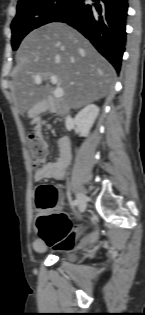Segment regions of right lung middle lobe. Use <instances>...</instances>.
Returning a JSON list of instances; mask_svg holds the SVG:
<instances>
[{
    "label": "right lung middle lobe",
    "instance_id": "obj_1",
    "mask_svg": "<svg viewBox=\"0 0 145 315\" xmlns=\"http://www.w3.org/2000/svg\"><path fill=\"white\" fill-rule=\"evenodd\" d=\"M74 0H25L18 2L12 21V47L16 50L22 39L33 29L50 22L64 12Z\"/></svg>",
    "mask_w": 145,
    "mask_h": 315
}]
</instances>
